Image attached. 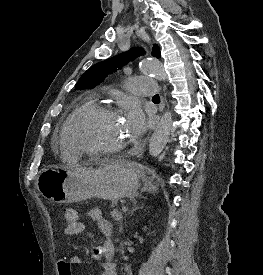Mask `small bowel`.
Returning <instances> with one entry per match:
<instances>
[{
	"label": "small bowel",
	"mask_w": 263,
	"mask_h": 275,
	"mask_svg": "<svg viewBox=\"0 0 263 275\" xmlns=\"http://www.w3.org/2000/svg\"><path fill=\"white\" fill-rule=\"evenodd\" d=\"M89 219L95 222L105 237V241L102 245L96 247L92 251V259L95 261H102V273L101 275H117V266L113 261L114 257V245L111 241L112 225L107 221L99 208H92L88 212ZM85 224L80 220L74 223H69L65 229L64 234L72 236L83 232ZM70 264V272L68 275L73 274V265L81 263V260L76 255H70L67 259H63ZM59 269V265H58ZM95 275V274H92Z\"/></svg>",
	"instance_id": "small-bowel-1"
}]
</instances>
